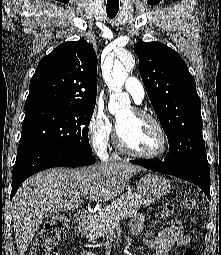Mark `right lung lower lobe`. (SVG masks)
<instances>
[{"label": "right lung lower lobe", "mask_w": 221, "mask_h": 255, "mask_svg": "<svg viewBox=\"0 0 221 255\" xmlns=\"http://www.w3.org/2000/svg\"><path fill=\"white\" fill-rule=\"evenodd\" d=\"M96 161L92 154L34 143L19 144L12 172L11 198L29 176L52 167H79Z\"/></svg>", "instance_id": "98d812e1"}]
</instances>
